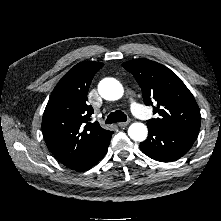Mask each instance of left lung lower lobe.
Segmentation results:
<instances>
[{"mask_svg":"<svg viewBox=\"0 0 221 221\" xmlns=\"http://www.w3.org/2000/svg\"><path fill=\"white\" fill-rule=\"evenodd\" d=\"M148 138L140 143V149L150 158L171 162L182 157L193 145L197 133L169 131L148 125Z\"/></svg>","mask_w":221,"mask_h":221,"instance_id":"1","label":"left lung lower lobe"}]
</instances>
